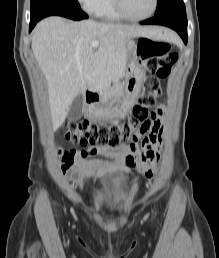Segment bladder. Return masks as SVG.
<instances>
[{"instance_id":"1","label":"bladder","mask_w":219,"mask_h":258,"mask_svg":"<svg viewBox=\"0 0 219 258\" xmlns=\"http://www.w3.org/2000/svg\"><path fill=\"white\" fill-rule=\"evenodd\" d=\"M136 197L133 179L118 172L100 184L93 206L105 215L122 216L134 206Z\"/></svg>"}]
</instances>
